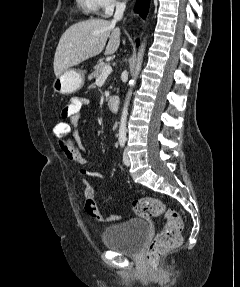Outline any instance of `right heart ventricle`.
<instances>
[{"instance_id":"1","label":"right heart ventricle","mask_w":240,"mask_h":287,"mask_svg":"<svg viewBox=\"0 0 240 287\" xmlns=\"http://www.w3.org/2000/svg\"><path fill=\"white\" fill-rule=\"evenodd\" d=\"M78 6L82 9L84 14L89 16L97 15L100 9L98 0H76Z\"/></svg>"}]
</instances>
